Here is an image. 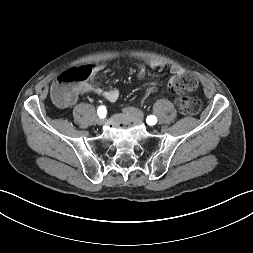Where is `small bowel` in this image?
<instances>
[{
  "instance_id": "obj_1",
  "label": "small bowel",
  "mask_w": 253,
  "mask_h": 253,
  "mask_svg": "<svg viewBox=\"0 0 253 253\" xmlns=\"http://www.w3.org/2000/svg\"><path fill=\"white\" fill-rule=\"evenodd\" d=\"M149 65L158 72L162 71L164 68L163 64L159 62H150ZM103 69H104L103 65H95V66H92L90 70H91L92 76H94L96 73L102 71ZM170 72L172 76L175 77L182 74L184 70L180 67L174 66L170 69ZM145 76H146V69L144 66H140L137 71V77L139 79H144ZM90 92L101 95L103 98H105L109 102H114L119 97V91L116 88H110V89L104 90V89L94 86L91 81H83L77 84L75 88V97L72 100V102L69 103L68 105H72L75 102L77 94H85V93H90Z\"/></svg>"
}]
</instances>
